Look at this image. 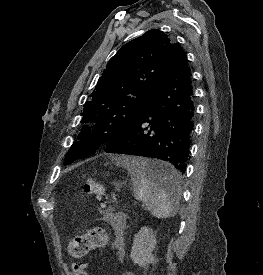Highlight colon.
I'll list each match as a JSON object with an SVG mask.
<instances>
[{"label":"colon","mask_w":263,"mask_h":275,"mask_svg":"<svg viewBox=\"0 0 263 275\" xmlns=\"http://www.w3.org/2000/svg\"><path fill=\"white\" fill-rule=\"evenodd\" d=\"M84 193L88 196H93L99 201L105 198L104 184L95 178H89L84 184ZM107 241V232L101 227H96L88 231L84 235L74 237L68 245V252L72 257L82 258L92 248L103 246ZM88 265L85 262H76L73 264V275H88ZM124 275H135L128 272Z\"/></svg>","instance_id":"5ec220e1"}]
</instances>
